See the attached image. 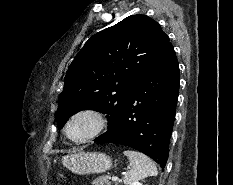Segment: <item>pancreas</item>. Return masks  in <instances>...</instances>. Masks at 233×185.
<instances>
[{
    "instance_id": "pancreas-1",
    "label": "pancreas",
    "mask_w": 233,
    "mask_h": 185,
    "mask_svg": "<svg viewBox=\"0 0 233 185\" xmlns=\"http://www.w3.org/2000/svg\"><path fill=\"white\" fill-rule=\"evenodd\" d=\"M92 185H111L108 176H100L93 180Z\"/></svg>"
}]
</instances>
